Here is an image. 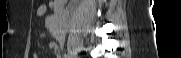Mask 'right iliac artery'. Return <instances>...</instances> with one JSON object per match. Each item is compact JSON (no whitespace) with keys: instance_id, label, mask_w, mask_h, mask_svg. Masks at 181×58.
Listing matches in <instances>:
<instances>
[{"instance_id":"82829eb1","label":"right iliac artery","mask_w":181,"mask_h":58,"mask_svg":"<svg viewBox=\"0 0 181 58\" xmlns=\"http://www.w3.org/2000/svg\"><path fill=\"white\" fill-rule=\"evenodd\" d=\"M64 58H68L66 54L64 55Z\"/></svg>"}]
</instances>
